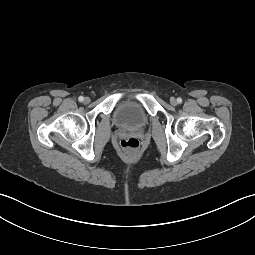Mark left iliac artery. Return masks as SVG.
Returning a JSON list of instances; mask_svg holds the SVG:
<instances>
[{"label": "left iliac artery", "mask_w": 255, "mask_h": 255, "mask_svg": "<svg viewBox=\"0 0 255 255\" xmlns=\"http://www.w3.org/2000/svg\"><path fill=\"white\" fill-rule=\"evenodd\" d=\"M177 102L178 103H182V99L181 98H177Z\"/></svg>", "instance_id": "44dca946"}]
</instances>
